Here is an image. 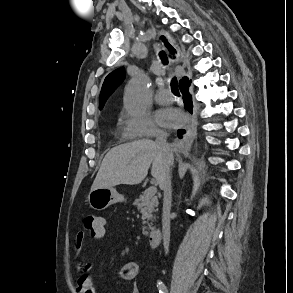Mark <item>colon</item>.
Returning a JSON list of instances; mask_svg holds the SVG:
<instances>
[{"label":"colon","instance_id":"1","mask_svg":"<svg viewBox=\"0 0 293 293\" xmlns=\"http://www.w3.org/2000/svg\"><path fill=\"white\" fill-rule=\"evenodd\" d=\"M83 226L91 234L99 233L103 229L104 219L94 213H87L83 216Z\"/></svg>","mask_w":293,"mask_h":293}]
</instances>
